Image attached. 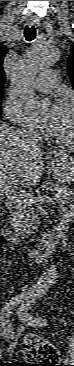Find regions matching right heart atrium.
Wrapping results in <instances>:
<instances>
[{
    "label": "right heart atrium",
    "instance_id": "right-heart-atrium-1",
    "mask_svg": "<svg viewBox=\"0 0 74 366\" xmlns=\"http://www.w3.org/2000/svg\"><path fill=\"white\" fill-rule=\"evenodd\" d=\"M4 112L7 118L19 128L26 130L32 129L28 119L26 120L22 115L21 103L18 100L8 98L4 105Z\"/></svg>",
    "mask_w": 74,
    "mask_h": 366
}]
</instances>
